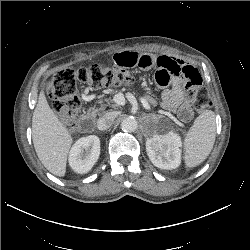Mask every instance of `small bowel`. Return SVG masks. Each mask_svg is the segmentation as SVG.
Wrapping results in <instances>:
<instances>
[{
    "instance_id": "obj_1",
    "label": "small bowel",
    "mask_w": 250,
    "mask_h": 250,
    "mask_svg": "<svg viewBox=\"0 0 250 250\" xmlns=\"http://www.w3.org/2000/svg\"><path fill=\"white\" fill-rule=\"evenodd\" d=\"M114 63L119 68H155V82L162 88L163 107L176 112L182 122L192 119L190 101L202 84L201 74L194 65L175 57L137 52L117 53Z\"/></svg>"
}]
</instances>
